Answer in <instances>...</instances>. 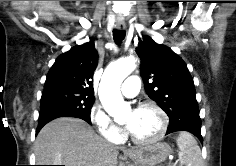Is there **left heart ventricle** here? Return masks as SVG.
Returning a JSON list of instances; mask_svg holds the SVG:
<instances>
[{"label": "left heart ventricle", "instance_id": "left-heart-ventricle-1", "mask_svg": "<svg viewBox=\"0 0 236 166\" xmlns=\"http://www.w3.org/2000/svg\"><path fill=\"white\" fill-rule=\"evenodd\" d=\"M135 116L134 128L131 131L133 135L141 139H148L156 135L160 129V117L153 109H144L135 112H129L124 121L130 122Z\"/></svg>", "mask_w": 236, "mask_h": 166}]
</instances>
